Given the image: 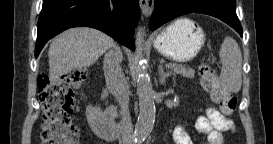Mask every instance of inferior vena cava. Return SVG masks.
Segmentation results:
<instances>
[{
    "label": "inferior vena cava",
    "mask_w": 273,
    "mask_h": 144,
    "mask_svg": "<svg viewBox=\"0 0 273 144\" xmlns=\"http://www.w3.org/2000/svg\"><path fill=\"white\" fill-rule=\"evenodd\" d=\"M121 51L114 44L104 57V75L107 86L111 89L120 106V133L122 144H133V126L129 112V97L125 87V77L120 67Z\"/></svg>",
    "instance_id": "1"
}]
</instances>
